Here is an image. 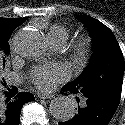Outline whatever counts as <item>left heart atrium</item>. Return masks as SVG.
Masks as SVG:
<instances>
[{"label": "left heart atrium", "mask_w": 125, "mask_h": 125, "mask_svg": "<svg viewBox=\"0 0 125 125\" xmlns=\"http://www.w3.org/2000/svg\"><path fill=\"white\" fill-rule=\"evenodd\" d=\"M67 76L66 67L61 64L37 66L29 73L30 81L42 91L51 90L56 83L63 81Z\"/></svg>", "instance_id": "obj_1"}]
</instances>
